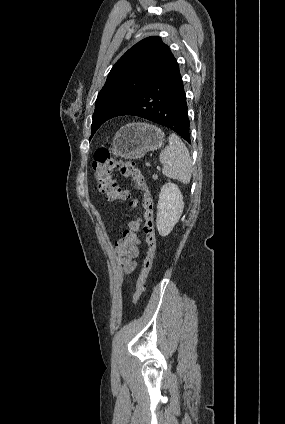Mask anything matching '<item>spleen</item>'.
Listing matches in <instances>:
<instances>
[{
    "mask_svg": "<svg viewBox=\"0 0 285 424\" xmlns=\"http://www.w3.org/2000/svg\"><path fill=\"white\" fill-rule=\"evenodd\" d=\"M168 140L169 144L159 157L163 165L162 173L187 184L192 175V160L189 151L176 134H171Z\"/></svg>",
    "mask_w": 285,
    "mask_h": 424,
    "instance_id": "1",
    "label": "spleen"
}]
</instances>
